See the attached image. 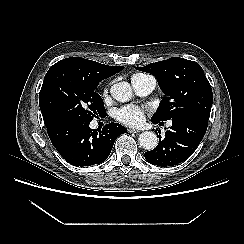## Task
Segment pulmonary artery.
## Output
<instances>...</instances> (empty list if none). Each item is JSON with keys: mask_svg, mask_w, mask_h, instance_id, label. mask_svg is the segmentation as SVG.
Segmentation results:
<instances>
[{"mask_svg": "<svg viewBox=\"0 0 244 244\" xmlns=\"http://www.w3.org/2000/svg\"><path fill=\"white\" fill-rule=\"evenodd\" d=\"M135 92L140 96L149 95L156 86V81L152 76L142 75L132 81ZM171 125V122L168 123Z\"/></svg>", "mask_w": 244, "mask_h": 244, "instance_id": "1", "label": "pulmonary artery"}]
</instances>
